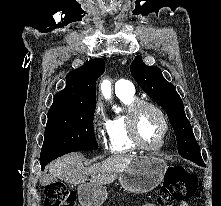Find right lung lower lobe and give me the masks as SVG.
<instances>
[{"label":"right lung lower lobe","instance_id":"obj_1","mask_svg":"<svg viewBox=\"0 0 221 206\" xmlns=\"http://www.w3.org/2000/svg\"><path fill=\"white\" fill-rule=\"evenodd\" d=\"M49 162H43V163H41V169L43 170L44 169V167L46 166V164H48Z\"/></svg>","mask_w":221,"mask_h":206}]
</instances>
